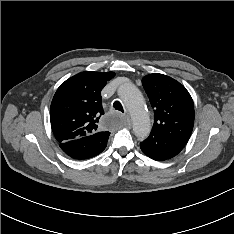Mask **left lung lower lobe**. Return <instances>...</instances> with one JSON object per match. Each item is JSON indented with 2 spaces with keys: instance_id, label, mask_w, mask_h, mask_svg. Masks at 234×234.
<instances>
[{
  "instance_id": "1",
  "label": "left lung lower lobe",
  "mask_w": 234,
  "mask_h": 234,
  "mask_svg": "<svg viewBox=\"0 0 234 234\" xmlns=\"http://www.w3.org/2000/svg\"><path fill=\"white\" fill-rule=\"evenodd\" d=\"M140 148L145 155L158 161L170 159L183 149L182 145L178 143L151 134L140 143Z\"/></svg>"
}]
</instances>
